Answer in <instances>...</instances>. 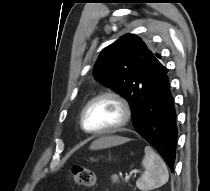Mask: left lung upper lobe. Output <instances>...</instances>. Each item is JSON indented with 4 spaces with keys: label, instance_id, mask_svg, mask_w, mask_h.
Instances as JSON below:
<instances>
[{
    "label": "left lung upper lobe",
    "instance_id": "5c2ea615",
    "mask_svg": "<svg viewBox=\"0 0 210 191\" xmlns=\"http://www.w3.org/2000/svg\"><path fill=\"white\" fill-rule=\"evenodd\" d=\"M162 67L158 53L139 36L127 34L101 51L94 75L130 102L135 120L139 103L156 85V72Z\"/></svg>",
    "mask_w": 210,
    "mask_h": 191
}]
</instances>
